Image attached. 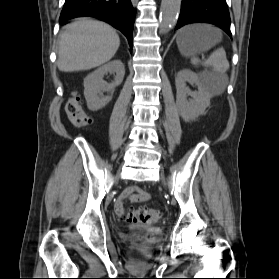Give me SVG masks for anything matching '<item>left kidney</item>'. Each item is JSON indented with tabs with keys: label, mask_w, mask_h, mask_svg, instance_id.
<instances>
[{
	"label": "left kidney",
	"mask_w": 279,
	"mask_h": 279,
	"mask_svg": "<svg viewBox=\"0 0 279 279\" xmlns=\"http://www.w3.org/2000/svg\"><path fill=\"white\" fill-rule=\"evenodd\" d=\"M186 82L195 84L198 91H191ZM176 106L180 116L185 122L196 120L200 115L205 113L206 108L210 105L212 94L208 89L204 74H196L190 69H182L175 78ZM190 95L192 99L188 100Z\"/></svg>",
	"instance_id": "obj_1"
}]
</instances>
